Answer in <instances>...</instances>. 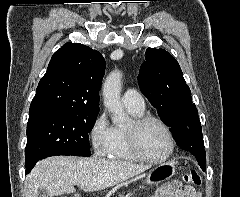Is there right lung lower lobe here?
<instances>
[{"mask_svg":"<svg viewBox=\"0 0 240 197\" xmlns=\"http://www.w3.org/2000/svg\"><path fill=\"white\" fill-rule=\"evenodd\" d=\"M30 171H31V169H30V168H29V169L27 168V169H26V174H28Z\"/></svg>","mask_w":240,"mask_h":197,"instance_id":"98d812e1","label":"right lung lower lobe"}]
</instances>
